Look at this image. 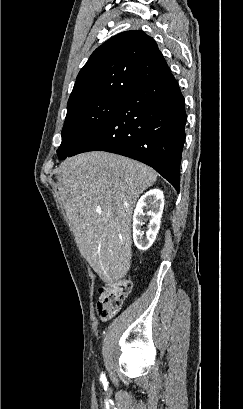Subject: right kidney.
<instances>
[{"label":"right kidney","instance_id":"obj_1","mask_svg":"<svg viewBox=\"0 0 243 409\" xmlns=\"http://www.w3.org/2000/svg\"><path fill=\"white\" fill-rule=\"evenodd\" d=\"M163 207L164 195L159 189L149 190L138 200L133 215V240L138 249L144 251L153 244L160 228ZM144 210H148L147 213ZM145 221H149V224L144 236L142 226Z\"/></svg>","mask_w":243,"mask_h":409}]
</instances>
